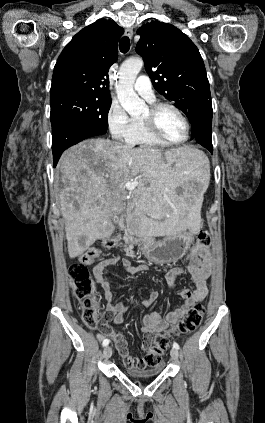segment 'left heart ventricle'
Returning <instances> with one entry per match:
<instances>
[{
  "instance_id": "left-heart-ventricle-1",
  "label": "left heart ventricle",
  "mask_w": 265,
  "mask_h": 423,
  "mask_svg": "<svg viewBox=\"0 0 265 423\" xmlns=\"http://www.w3.org/2000/svg\"><path fill=\"white\" fill-rule=\"evenodd\" d=\"M148 114L147 110L143 118H146ZM156 122L159 130L166 138L172 141H180L185 137V125L174 111L170 109L161 110L156 117Z\"/></svg>"
}]
</instances>
